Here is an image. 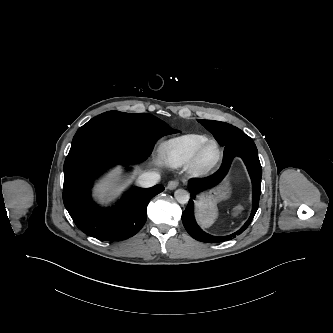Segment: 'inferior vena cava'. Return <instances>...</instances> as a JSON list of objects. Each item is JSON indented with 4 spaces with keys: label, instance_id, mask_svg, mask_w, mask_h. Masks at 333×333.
<instances>
[{
    "label": "inferior vena cava",
    "instance_id": "602c4592",
    "mask_svg": "<svg viewBox=\"0 0 333 333\" xmlns=\"http://www.w3.org/2000/svg\"><path fill=\"white\" fill-rule=\"evenodd\" d=\"M160 180V174L157 172H146L141 174L137 181L145 188L154 186Z\"/></svg>",
    "mask_w": 333,
    "mask_h": 333
}]
</instances>
